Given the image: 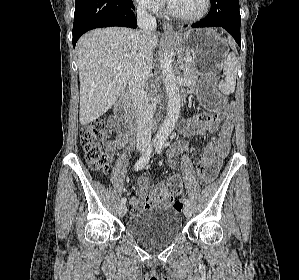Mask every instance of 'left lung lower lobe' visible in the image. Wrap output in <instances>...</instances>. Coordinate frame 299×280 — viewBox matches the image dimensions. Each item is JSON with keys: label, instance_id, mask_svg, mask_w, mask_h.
<instances>
[{"label": "left lung lower lobe", "instance_id": "0a47b994", "mask_svg": "<svg viewBox=\"0 0 299 280\" xmlns=\"http://www.w3.org/2000/svg\"><path fill=\"white\" fill-rule=\"evenodd\" d=\"M240 23L239 0H211L209 14L192 27H223L241 46Z\"/></svg>", "mask_w": 299, "mask_h": 280}]
</instances>
